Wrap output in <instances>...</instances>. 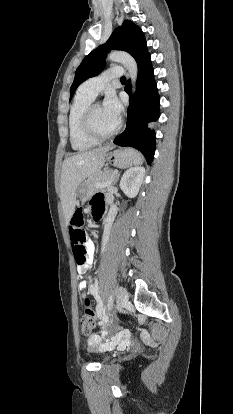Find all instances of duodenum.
Returning <instances> with one entry per match:
<instances>
[{"instance_id": "1", "label": "duodenum", "mask_w": 233, "mask_h": 414, "mask_svg": "<svg viewBox=\"0 0 233 414\" xmlns=\"http://www.w3.org/2000/svg\"><path fill=\"white\" fill-rule=\"evenodd\" d=\"M112 213H114V212H112ZM93 216H94L95 219H98L101 216V212L100 211H95L93 213Z\"/></svg>"}]
</instances>
